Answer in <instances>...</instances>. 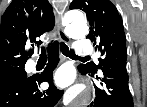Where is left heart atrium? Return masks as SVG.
<instances>
[{"mask_svg":"<svg viewBox=\"0 0 147 107\" xmlns=\"http://www.w3.org/2000/svg\"><path fill=\"white\" fill-rule=\"evenodd\" d=\"M73 72L68 67L61 68L56 74V82L60 86H67L73 81Z\"/></svg>","mask_w":147,"mask_h":107,"instance_id":"left-heart-atrium-1","label":"left heart atrium"}]
</instances>
